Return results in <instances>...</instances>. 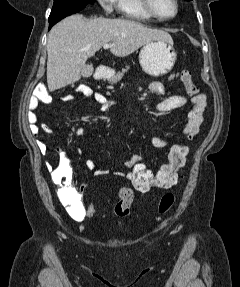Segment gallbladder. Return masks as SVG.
I'll use <instances>...</instances> for the list:
<instances>
[{
  "mask_svg": "<svg viewBox=\"0 0 240 287\" xmlns=\"http://www.w3.org/2000/svg\"><path fill=\"white\" fill-rule=\"evenodd\" d=\"M93 70L94 69L92 65H85L81 72V75L85 78L90 77L93 73Z\"/></svg>",
  "mask_w": 240,
  "mask_h": 287,
  "instance_id": "1",
  "label": "gallbladder"
}]
</instances>
